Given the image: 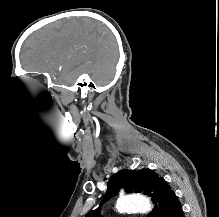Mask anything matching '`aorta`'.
I'll return each instance as SVG.
<instances>
[{
	"mask_svg": "<svg viewBox=\"0 0 219 217\" xmlns=\"http://www.w3.org/2000/svg\"><path fill=\"white\" fill-rule=\"evenodd\" d=\"M116 208L120 212H146L152 206L149 198L143 195H126L117 200Z\"/></svg>",
	"mask_w": 219,
	"mask_h": 217,
	"instance_id": "aorta-1",
	"label": "aorta"
}]
</instances>
